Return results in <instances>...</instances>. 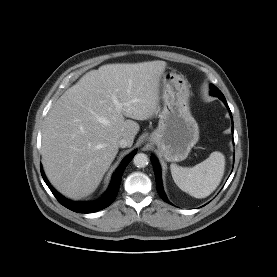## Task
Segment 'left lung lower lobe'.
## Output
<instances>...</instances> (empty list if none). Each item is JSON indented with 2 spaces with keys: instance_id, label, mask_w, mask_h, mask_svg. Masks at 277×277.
Returning a JSON list of instances; mask_svg holds the SVG:
<instances>
[{
  "instance_id": "obj_1",
  "label": "left lung lower lobe",
  "mask_w": 277,
  "mask_h": 277,
  "mask_svg": "<svg viewBox=\"0 0 277 277\" xmlns=\"http://www.w3.org/2000/svg\"><path fill=\"white\" fill-rule=\"evenodd\" d=\"M223 102L229 109V106H228L226 100H224ZM229 111H230V109H229ZM230 115H231V118H232L231 111H230ZM233 131H234V125L232 124V132ZM151 162H152V165H153V168H154L156 188H157L158 194L160 195V197L165 202L170 203L169 200L167 199L165 193H164V190H163L162 179H161V170H160L159 163H158L157 159L154 156L151 157Z\"/></svg>"
}]
</instances>
